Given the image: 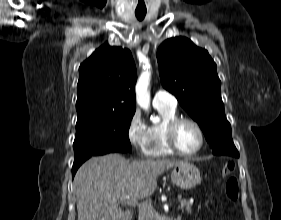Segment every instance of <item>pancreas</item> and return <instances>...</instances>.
<instances>
[{"label":"pancreas","instance_id":"obj_1","mask_svg":"<svg viewBox=\"0 0 281 220\" xmlns=\"http://www.w3.org/2000/svg\"><path fill=\"white\" fill-rule=\"evenodd\" d=\"M180 208L182 211H187L190 213L192 211V203H190L187 199H183L180 202Z\"/></svg>","mask_w":281,"mask_h":220}]
</instances>
